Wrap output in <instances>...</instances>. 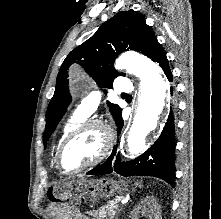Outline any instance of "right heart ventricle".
<instances>
[{"label":"right heart ventricle","mask_w":221,"mask_h":219,"mask_svg":"<svg viewBox=\"0 0 221 219\" xmlns=\"http://www.w3.org/2000/svg\"><path fill=\"white\" fill-rule=\"evenodd\" d=\"M86 117L81 116L79 113L75 112L63 125L61 128L60 134L57 139L56 148H55V155L56 151L60 145V143L63 141V139L66 137V135L77 125L85 121ZM54 155V160H55Z\"/></svg>","instance_id":"1"}]
</instances>
